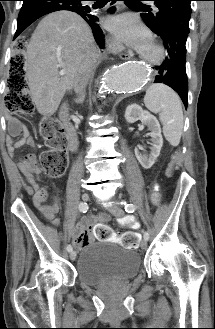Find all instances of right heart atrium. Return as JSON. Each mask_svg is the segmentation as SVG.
<instances>
[{
    "instance_id": "1",
    "label": "right heart atrium",
    "mask_w": 215,
    "mask_h": 329,
    "mask_svg": "<svg viewBox=\"0 0 215 329\" xmlns=\"http://www.w3.org/2000/svg\"><path fill=\"white\" fill-rule=\"evenodd\" d=\"M109 43H110V45H111L112 47L115 46L114 41L110 40Z\"/></svg>"
}]
</instances>
